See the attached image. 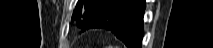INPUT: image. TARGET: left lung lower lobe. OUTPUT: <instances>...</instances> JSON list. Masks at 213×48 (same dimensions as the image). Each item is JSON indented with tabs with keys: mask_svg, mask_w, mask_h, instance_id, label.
Here are the masks:
<instances>
[{
	"mask_svg": "<svg viewBox=\"0 0 213 48\" xmlns=\"http://www.w3.org/2000/svg\"><path fill=\"white\" fill-rule=\"evenodd\" d=\"M145 0H113L97 11L82 28L112 31L128 48H141Z\"/></svg>",
	"mask_w": 213,
	"mask_h": 48,
	"instance_id": "1",
	"label": "left lung lower lobe"
}]
</instances>
